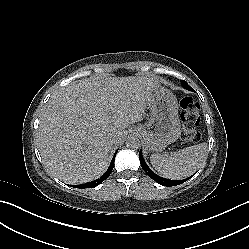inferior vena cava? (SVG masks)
Instances as JSON below:
<instances>
[{
	"instance_id": "1",
	"label": "inferior vena cava",
	"mask_w": 249,
	"mask_h": 249,
	"mask_svg": "<svg viewBox=\"0 0 249 249\" xmlns=\"http://www.w3.org/2000/svg\"><path fill=\"white\" fill-rule=\"evenodd\" d=\"M112 141H113V142H116V141H117V138H116V137H113V138H112Z\"/></svg>"
}]
</instances>
